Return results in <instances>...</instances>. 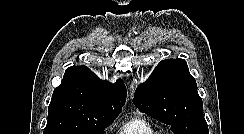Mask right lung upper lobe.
<instances>
[{
	"label": "right lung upper lobe",
	"mask_w": 244,
	"mask_h": 134,
	"mask_svg": "<svg viewBox=\"0 0 244 134\" xmlns=\"http://www.w3.org/2000/svg\"><path fill=\"white\" fill-rule=\"evenodd\" d=\"M126 96L121 79L112 84L102 81L86 66H71L54 89L48 110L78 117H110L121 112Z\"/></svg>",
	"instance_id": "right-lung-upper-lobe-1"
}]
</instances>
